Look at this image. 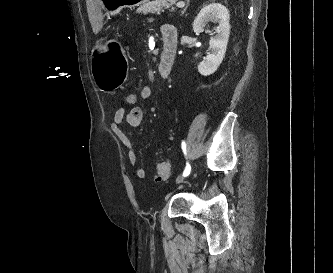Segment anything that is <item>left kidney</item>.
<instances>
[{"mask_svg": "<svg viewBox=\"0 0 333 273\" xmlns=\"http://www.w3.org/2000/svg\"><path fill=\"white\" fill-rule=\"evenodd\" d=\"M230 14L228 9L220 3H211L204 6L193 22L195 33L204 31V27L209 21L218 24L216 35L210 38L209 50L211 51L198 65L201 75L213 74L222 63L230 34Z\"/></svg>", "mask_w": 333, "mask_h": 273, "instance_id": "obj_1", "label": "left kidney"}]
</instances>
